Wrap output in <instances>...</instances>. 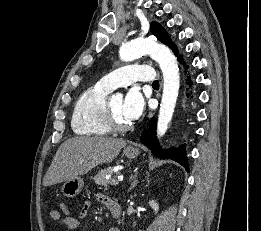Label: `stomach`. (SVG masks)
Masks as SVG:
<instances>
[{
    "label": "stomach",
    "instance_id": "obj_1",
    "mask_svg": "<svg viewBox=\"0 0 261 231\" xmlns=\"http://www.w3.org/2000/svg\"><path fill=\"white\" fill-rule=\"evenodd\" d=\"M123 154L128 158V159H135L138 157L140 154L139 150L134 147H126L123 151ZM84 186V181L81 177L76 176L68 181H66L62 187V192L64 196L68 198H73L77 196L82 188Z\"/></svg>",
    "mask_w": 261,
    "mask_h": 231
}]
</instances>
